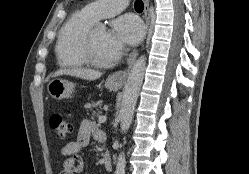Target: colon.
I'll list each match as a JSON object with an SVG mask.
<instances>
[{
    "mask_svg": "<svg viewBox=\"0 0 249 174\" xmlns=\"http://www.w3.org/2000/svg\"><path fill=\"white\" fill-rule=\"evenodd\" d=\"M50 126L59 140H64L72 133L71 122L60 114H53L50 117Z\"/></svg>",
    "mask_w": 249,
    "mask_h": 174,
    "instance_id": "1",
    "label": "colon"
}]
</instances>
